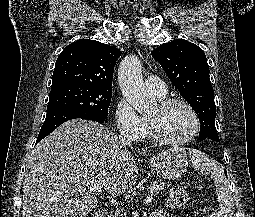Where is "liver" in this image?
<instances>
[{"label":"liver","instance_id":"liver-1","mask_svg":"<svg viewBox=\"0 0 255 217\" xmlns=\"http://www.w3.org/2000/svg\"><path fill=\"white\" fill-rule=\"evenodd\" d=\"M147 152L143 148L139 153ZM199 154L190 151L192 158ZM137 177L131 152L122 149L110 129L89 120L67 121L31 153L23 182V217H84L98 202L91 187L120 195Z\"/></svg>","mask_w":255,"mask_h":217}]
</instances>
